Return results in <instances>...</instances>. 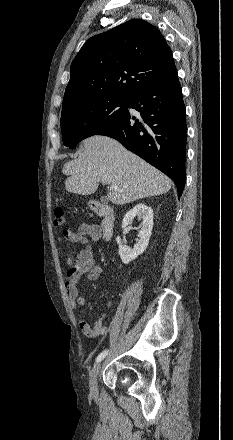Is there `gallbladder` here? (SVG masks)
I'll return each mask as SVG.
<instances>
[{
	"label": "gallbladder",
	"mask_w": 233,
	"mask_h": 440,
	"mask_svg": "<svg viewBox=\"0 0 233 440\" xmlns=\"http://www.w3.org/2000/svg\"><path fill=\"white\" fill-rule=\"evenodd\" d=\"M100 201H101V202H106L107 200H106L105 197H101Z\"/></svg>",
	"instance_id": "bac80fb5"
}]
</instances>
